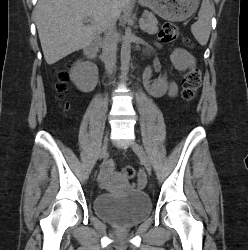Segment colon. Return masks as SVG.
I'll list each match as a JSON object with an SVG mask.
<instances>
[{"label": "colon", "mask_w": 248, "mask_h": 250, "mask_svg": "<svg viewBox=\"0 0 248 250\" xmlns=\"http://www.w3.org/2000/svg\"><path fill=\"white\" fill-rule=\"evenodd\" d=\"M159 38L163 43H172L182 40L187 46H192V41L187 37H181L178 28L169 22L163 24L159 33ZM69 65H71V63H69L68 66ZM54 74L58 79V92H62L65 88V83L69 78V73L65 69H56L54 70ZM201 78V71L195 66L190 67L186 71L182 79V97L185 101H192L196 97L201 84ZM122 175L127 180L133 179L135 176L134 167L131 165H125L122 168Z\"/></svg>", "instance_id": "obj_1"}]
</instances>
